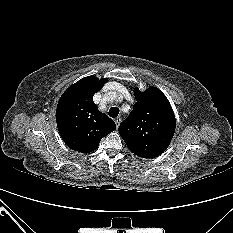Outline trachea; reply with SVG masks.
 <instances>
[{"instance_id":"obj_1","label":"trachea","mask_w":233,"mask_h":233,"mask_svg":"<svg viewBox=\"0 0 233 233\" xmlns=\"http://www.w3.org/2000/svg\"><path fill=\"white\" fill-rule=\"evenodd\" d=\"M109 116L112 118H115L119 114V108L118 107H111L108 112Z\"/></svg>"}]
</instances>
